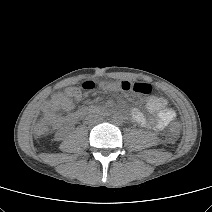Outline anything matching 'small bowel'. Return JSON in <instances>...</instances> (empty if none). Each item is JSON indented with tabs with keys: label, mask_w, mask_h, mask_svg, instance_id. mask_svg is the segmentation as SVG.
Segmentation results:
<instances>
[{
	"label": "small bowel",
	"mask_w": 212,
	"mask_h": 212,
	"mask_svg": "<svg viewBox=\"0 0 212 212\" xmlns=\"http://www.w3.org/2000/svg\"><path fill=\"white\" fill-rule=\"evenodd\" d=\"M81 93L73 87L55 92L43 106V115L46 121L54 126L74 124L77 122L80 112L71 113L74 108L73 100H79ZM146 110L155 115V121L151 124L144 113L139 109L131 111L132 120L143 127L152 126L156 130H163L176 118V113L167 106V101L160 96H152L146 103Z\"/></svg>",
	"instance_id": "c3829d8e"
}]
</instances>
